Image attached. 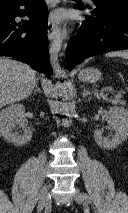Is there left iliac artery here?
Returning a JSON list of instances; mask_svg holds the SVG:
<instances>
[{
    "mask_svg": "<svg viewBox=\"0 0 128 213\" xmlns=\"http://www.w3.org/2000/svg\"><path fill=\"white\" fill-rule=\"evenodd\" d=\"M83 199L86 203L91 204V198L89 197L88 194L83 193Z\"/></svg>",
    "mask_w": 128,
    "mask_h": 213,
    "instance_id": "obj_1",
    "label": "left iliac artery"
}]
</instances>
